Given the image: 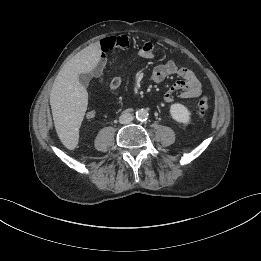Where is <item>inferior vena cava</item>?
Listing matches in <instances>:
<instances>
[{
    "label": "inferior vena cava",
    "instance_id": "1",
    "mask_svg": "<svg viewBox=\"0 0 261 261\" xmlns=\"http://www.w3.org/2000/svg\"><path fill=\"white\" fill-rule=\"evenodd\" d=\"M133 120V116L130 113H123L120 117H119V122L121 124H129L131 121Z\"/></svg>",
    "mask_w": 261,
    "mask_h": 261
}]
</instances>
